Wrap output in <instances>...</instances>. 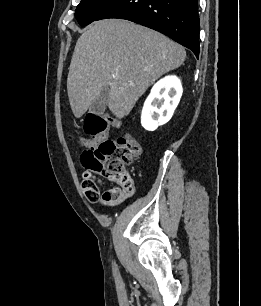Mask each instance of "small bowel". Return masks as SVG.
<instances>
[{
  "label": "small bowel",
  "mask_w": 261,
  "mask_h": 306,
  "mask_svg": "<svg viewBox=\"0 0 261 306\" xmlns=\"http://www.w3.org/2000/svg\"><path fill=\"white\" fill-rule=\"evenodd\" d=\"M111 190V189H110ZM135 193V190L133 188L130 189H119L116 197L109 201L108 203H113V204H120L133 196ZM106 202V201H105Z\"/></svg>",
  "instance_id": "small-bowel-1"
}]
</instances>
